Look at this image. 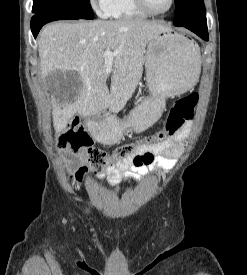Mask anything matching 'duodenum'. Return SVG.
<instances>
[{
  "instance_id": "obj_1",
  "label": "duodenum",
  "mask_w": 247,
  "mask_h": 275,
  "mask_svg": "<svg viewBox=\"0 0 247 275\" xmlns=\"http://www.w3.org/2000/svg\"><path fill=\"white\" fill-rule=\"evenodd\" d=\"M105 109H108V105L105 106Z\"/></svg>"
}]
</instances>
